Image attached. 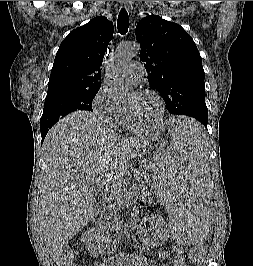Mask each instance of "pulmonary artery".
<instances>
[{
  "label": "pulmonary artery",
  "mask_w": 253,
  "mask_h": 266,
  "mask_svg": "<svg viewBox=\"0 0 253 266\" xmlns=\"http://www.w3.org/2000/svg\"><path fill=\"white\" fill-rule=\"evenodd\" d=\"M123 74L130 82L137 84L143 77V66L139 62H131L125 67Z\"/></svg>",
  "instance_id": "1"
}]
</instances>
